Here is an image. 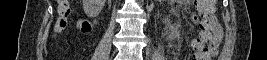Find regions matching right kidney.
I'll return each instance as SVG.
<instances>
[{"label": "right kidney", "mask_w": 267, "mask_h": 60, "mask_svg": "<svg viewBox=\"0 0 267 60\" xmlns=\"http://www.w3.org/2000/svg\"><path fill=\"white\" fill-rule=\"evenodd\" d=\"M105 5V0H83L85 14L90 17H97Z\"/></svg>", "instance_id": "1"}]
</instances>
